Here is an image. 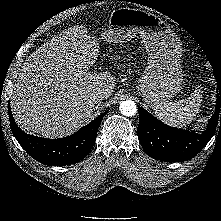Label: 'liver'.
<instances>
[{
  "mask_svg": "<svg viewBox=\"0 0 221 221\" xmlns=\"http://www.w3.org/2000/svg\"><path fill=\"white\" fill-rule=\"evenodd\" d=\"M99 55V44L76 25L53 37L24 62L14 85L11 110L26 133L60 138L74 133L91 118V94L111 95L115 77L89 72Z\"/></svg>",
  "mask_w": 221,
  "mask_h": 221,
  "instance_id": "1",
  "label": "liver"
}]
</instances>
